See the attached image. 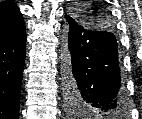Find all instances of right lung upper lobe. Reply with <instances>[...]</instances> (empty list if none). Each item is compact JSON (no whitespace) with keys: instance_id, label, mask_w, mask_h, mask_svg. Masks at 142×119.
Segmentation results:
<instances>
[{"instance_id":"1","label":"right lung upper lobe","mask_w":142,"mask_h":119,"mask_svg":"<svg viewBox=\"0 0 142 119\" xmlns=\"http://www.w3.org/2000/svg\"><path fill=\"white\" fill-rule=\"evenodd\" d=\"M25 30L24 20L15 3L0 2V41L17 36Z\"/></svg>"}]
</instances>
